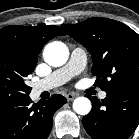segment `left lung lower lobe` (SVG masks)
Returning a JSON list of instances; mask_svg holds the SVG:
<instances>
[{"label":"left lung lower lobe","instance_id":"0a47b994","mask_svg":"<svg viewBox=\"0 0 139 139\" xmlns=\"http://www.w3.org/2000/svg\"><path fill=\"white\" fill-rule=\"evenodd\" d=\"M92 102L83 125L92 139H126L139 125V82L107 93L105 99Z\"/></svg>","mask_w":139,"mask_h":139}]
</instances>
